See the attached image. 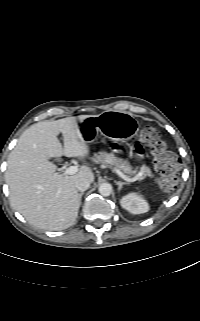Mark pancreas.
I'll use <instances>...</instances> for the list:
<instances>
[{
    "mask_svg": "<svg viewBox=\"0 0 200 321\" xmlns=\"http://www.w3.org/2000/svg\"><path fill=\"white\" fill-rule=\"evenodd\" d=\"M92 161L96 164L102 163L109 167H114L120 171H122L127 176H132L136 174V170H132V167L123 159L115 157L113 154L108 153H100L99 155H94ZM139 174L141 177L149 176L152 177V173L148 167H142Z\"/></svg>",
    "mask_w": 200,
    "mask_h": 321,
    "instance_id": "1",
    "label": "pancreas"
}]
</instances>
